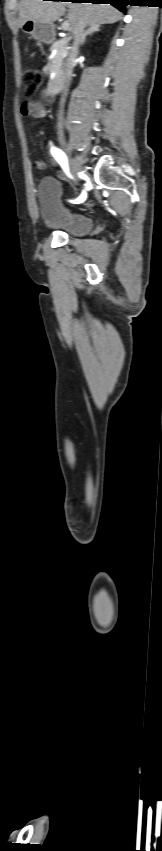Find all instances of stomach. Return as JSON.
<instances>
[{
    "label": "stomach",
    "instance_id": "0dacf381",
    "mask_svg": "<svg viewBox=\"0 0 162 851\" xmlns=\"http://www.w3.org/2000/svg\"><path fill=\"white\" fill-rule=\"evenodd\" d=\"M21 29L24 33L29 34L34 39L44 43H51L55 38L53 24H46L33 20H27L21 26Z\"/></svg>",
    "mask_w": 162,
    "mask_h": 851
}]
</instances>
